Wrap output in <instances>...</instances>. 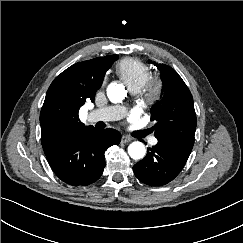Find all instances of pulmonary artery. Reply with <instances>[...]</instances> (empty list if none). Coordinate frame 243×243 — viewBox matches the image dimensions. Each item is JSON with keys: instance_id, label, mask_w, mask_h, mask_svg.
Instances as JSON below:
<instances>
[{"instance_id": "obj_1", "label": "pulmonary artery", "mask_w": 243, "mask_h": 243, "mask_svg": "<svg viewBox=\"0 0 243 243\" xmlns=\"http://www.w3.org/2000/svg\"><path fill=\"white\" fill-rule=\"evenodd\" d=\"M133 94H136L137 90H131ZM127 113V109L124 106L116 105V106H108L100 109H96L90 112L87 116V120L89 122H98V121H114L121 119ZM157 139L155 137L150 139V143L152 145L157 144Z\"/></svg>"}]
</instances>
